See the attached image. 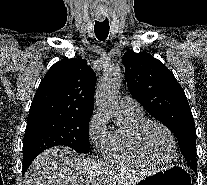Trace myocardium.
Here are the masks:
<instances>
[{"instance_id":"obj_1","label":"myocardium","mask_w":207,"mask_h":185,"mask_svg":"<svg viewBox=\"0 0 207 185\" xmlns=\"http://www.w3.org/2000/svg\"><path fill=\"white\" fill-rule=\"evenodd\" d=\"M152 125H156V126L162 128L170 136L172 143H173V153L169 159H166V160L157 159L149 152V150L146 146V142H145V135H146L148 128ZM135 139H136L137 145H138L139 149L141 150V152L148 159H150L151 161H153L157 164H162V165L169 164L175 159V157L177 155L178 143H177L176 137H175L173 131L166 124H164L161 121L144 120L141 124H139V126L137 127V129L135 131Z\"/></svg>"}]
</instances>
